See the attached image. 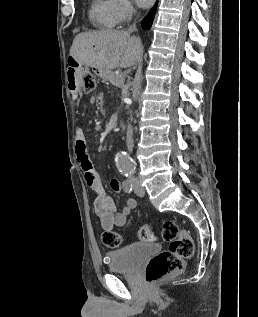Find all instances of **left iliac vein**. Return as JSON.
I'll return each instance as SVG.
<instances>
[{
  "instance_id": "obj_1",
  "label": "left iliac vein",
  "mask_w": 258,
  "mask_h": 317,
  "mask_svg": "<svg viewBox=\"0 0 258 317\" xmlns=\"http://www.w3.org/2000/svg\"><path fill=\"white\" fill-rule=\"evenodd\" d=\"M129 182L130 183H133L132 185H133V187H134V193L136 194V195H144L145 194V189L144 188H142V186H141V184H140V180H139V178H130L129 179Z\"/></svg>"
}]
</instances>
